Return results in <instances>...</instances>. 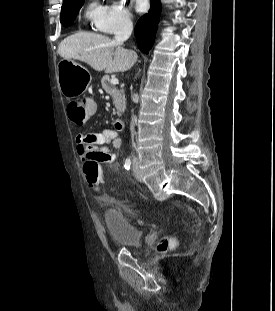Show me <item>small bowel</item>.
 I'll list each match as a JSON object with an SVG mask.
<instances>
[{
    "mask_svg": "<svg viewBox=\"0 0 275 311\" xmlns=\"http://www.w3.org/2000/svg\"><path fill=\"white\" fill-rule=\"evenodd\" d=\"M75 143L77 153L84 162H113L116 159L114 151L121 148L122 139L116 129H105L100 132L79 133L75 137Z\"/></svg>",
    "mask_w": 275,
    "mask_h": 311,
    "instance_id": "obj_1",
    "label": "small bowel"
}]
</instances>
